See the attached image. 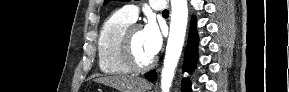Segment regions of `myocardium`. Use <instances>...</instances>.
<instances>
[{"label":"myocardium","instance_id":"obj_1","mask_svg":"<svg viewBox=\"0 0 289 92\" xmlns=\"http://www.w3.org/2000/svg\"><path fill=\"white\" fill-rule=\"evenodd\" d=\"M141 28L139 24H130L125 31L123 32V35L120 40V45H119V51H120V56L123 60V62L132 70V71H146L150 69L151 67L154 66L156 60L155 58H152L150 61L147 63H140L133 52V45H132V39H133V34L136 29Z\"/></svg>","mask_w":289,"mask_h":92}]
</instances>
